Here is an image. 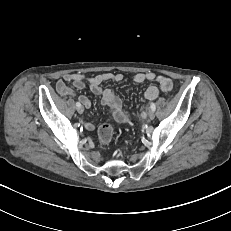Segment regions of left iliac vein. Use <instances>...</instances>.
I'll return each instance as SVG.
<instances>
[{"mask_svg":"<svg viewBox=\"0 0 231 231\" xmlns=\"http://www.w3.org/2000/svg\"><path fill=\"white\" fill-rule=\"evenodd\" d=\"M148 116H149V119H150V120H153V119L155 118V113H154V111L151 110V111L149 112V115H148Z\"/></svg>","mask_w":231,"mask_h":231,"instance_id":"left-iliac-vein-1","label":"left iliac vein"}]
</instances>
